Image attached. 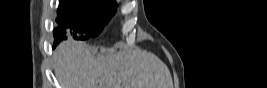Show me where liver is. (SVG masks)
I'll return each instance as SVG.
<instances>
[{
    "instance_id": "6515ba94",
    "label": "liver",
    "mask_w": 267,
    "mask_h": 88,
    "mask_svg": "<svg viewBox=\"0 0 267 88\" xmlns=\"http://www.w3.org/2000/svg\"><path fill=\"white\" fill-rule=\"evenodd\" d=\"M61 88H173L168 67L139 48L95 55L87 44L66 40L53 55Z\"/></svg>"
}]
</instances>
